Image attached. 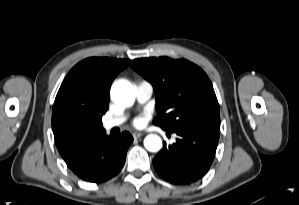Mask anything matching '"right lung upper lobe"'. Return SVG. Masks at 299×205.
Segmentation results:
<instances>
[{
    "mask_svg": "<svg viewBox=\"0 0 299 205\" xmlns=\"http://www.w3.org/2000/svg\"><path fill=\"white\" fill-rule=\"evenodd\" d=\"M130 60L87 58L67 74L55 98L52 130L63 159L84 140L101 133V117L108 109L111 83ZM86 130L79 132L77 128Z\"/></svg>",
    "mask_w": 299,
    "mask_h": 205,
    "instance_id": "right-lung-upper-lobe-1",
    "label": "right lung upper lobe"
}]
</instances>
